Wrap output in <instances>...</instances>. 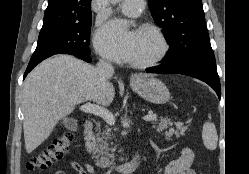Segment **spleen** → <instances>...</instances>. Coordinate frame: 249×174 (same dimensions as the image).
I'll list each match as a JSON object with an SVG mask.
<instances>
[{
    "label": "spleen",
    "instance_id": "3e777b00",
    "mask_svg": "<svg viewBox=\"0 0 249 174\" xmlns=\"http://www.w3.org/2000/svg\"><path fill=\"white\" fill-rule=\"evenodd\" d=\"M211 116L209 115V119ZM202 139L204 146L209 150H215L217 148L218 135L214 123L208 121L203 125Z\"/></svg>",
    "mask_w": 249,
    "mask_h": 174
}]
</instances>
